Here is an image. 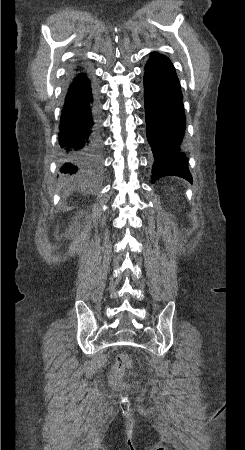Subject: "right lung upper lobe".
<instances>
[{"label":"right lung upper lobe","instance_id":"cb5924a9","mask_svg":"<svg viewBox=\"0 0 245 450\" xmlns=\"http://www.w3.org/2000/svg\"><path fill=\"white\" fill-rule=\"evenodd\" d=\"M79 70H81L80 67L75 68V69H74V73L78 72Z\"/></svg>","mask_w":245,"mask_h":450}]
</instances>
